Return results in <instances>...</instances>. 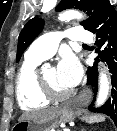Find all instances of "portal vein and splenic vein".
I'll return each mask as SVG.
<instances>
[{
  "mask_svg": "<svg viewBox=\"0 0 117 131\" xmlns=\"http://www.w3.org/2000/svg\"><path fill=\"white\" fill-rule=\"evenodd\" d=\"M64 131H70L69 129H64Z\"/></svg>",
  "mask_w": 117,
  "mask_h": 131,
  "instance_id": "portal-vein-and-splenic-vein-1",
  "label": "portal vein and splenic vein"
}]
</instances>
